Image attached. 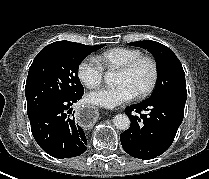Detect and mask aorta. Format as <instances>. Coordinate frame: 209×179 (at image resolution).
Listing matches in <instances>:
<instances>
[{
  "label": "aorta",
  "mask_w": 209,
  "mask_h": 179,
  "mask_svg": "<svg viewBox=\"0 0 209 179\" xmlns=\"http://www.w3.org/2000/svg\"><path fill=\"white\" fill-rule=\"evenodd\" d=\"M105 82L108 85H113L115 82V76L112 72L105 74ZM114 126L119 130H127L130 127V119L125 114H118L113 119Z\"/></svg>",
  "instance_id": "762f6f07"
}]
</instances>
